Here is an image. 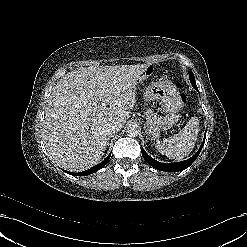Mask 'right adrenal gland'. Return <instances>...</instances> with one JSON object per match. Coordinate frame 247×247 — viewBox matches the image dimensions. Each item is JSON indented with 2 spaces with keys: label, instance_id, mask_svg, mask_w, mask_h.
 <instances>
[{
  "label": "right adrenal gland",
  "instance_id": "right-adrenal-gland-1",
  "mask_svg": "<svg viewBox=\"0 0 247 247\" xmlns=\"http://www.w3.org/2000/svg\"><path fill=\"white\" fill-rule=\"evenodd\" d=\"M109 139H110V138H108V139H107V145L109 144V142H108V141H109Z\"/></svg>",
  "mask_w": 247,
  "mask_h": 247
}]
</instances>
